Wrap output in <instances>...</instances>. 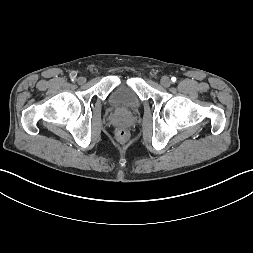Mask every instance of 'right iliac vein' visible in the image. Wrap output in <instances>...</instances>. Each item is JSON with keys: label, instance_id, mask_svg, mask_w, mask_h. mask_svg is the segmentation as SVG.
I'll list each match as a JSON object with an SVG mask.
<instances>
[{"label": "right iliac vein", "instance_id": "obj_1", "mask_svg": "<svg viewBox=\"0 0 253 253\" xmlns=\"http://www.w3.org/2000/svg\"><path fill=\"white\" fill-rule=\"evenodd\" d=\"M77 82H78L80 85H82V84H84V83L86 82V78L83 77V76H80V77L77 78Z\"/></svg>", "mask_w": 253, "mask_h": 253}]
</instances>
